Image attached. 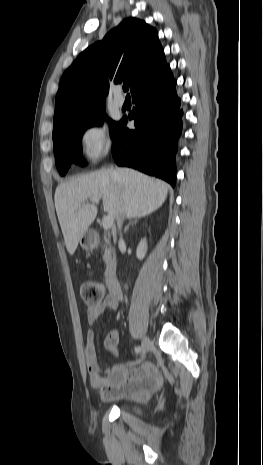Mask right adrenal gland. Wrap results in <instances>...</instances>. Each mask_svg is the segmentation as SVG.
Here are the masks:
<instances>
[{"label":"right adrenal gland","mask_w":263,"mask_h":465,"mask_svg":"<svg viewBox=\"0 0 263 465\" xmlns=\"http://www.w3.org/2000/svg\"><path fill=\"white\" fill-rule=\"evenodd\" d=\"M138 219H139V217H137L135 220L131 221V222L126 226L124 232H127V230H128V228H129L130 225L136 224L137 221H138Z\"/></svg>","instance_id":"right-adrenal-gland-1"}]
</instances>
